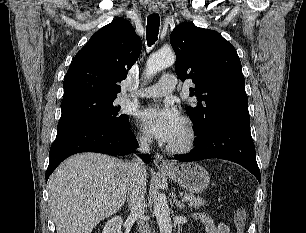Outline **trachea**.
<instances>
[{
	"instance_id": "3493384b",
	"label": "trachea",
	"mask_w": 306,
	"mask_h": 233,
	"mask_svg": "<svg viewBox=\"0 0 306 233\" xmlns=\"http://www.w3.org/2000/svg\"><path fill=\"white\" fill-rule=\"evenodd\" d=\"M160 18L156 13L150 14L147 18L146 38L149 45L154 44L158 38Z\"/></svg>"
}]
</instances>
